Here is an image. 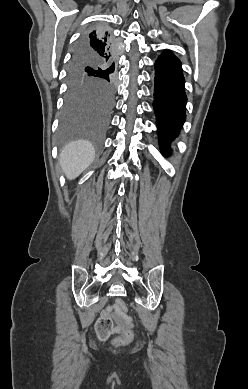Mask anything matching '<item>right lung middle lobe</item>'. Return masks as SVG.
Returning <instances> with one entry per match:
<instances>
[{
    "instance_id": "dd1d6c3e",
    "label": "right lung middle lobe",
    "mask_w": 248,
    "mask_h": 389,
    "mask_svg": "<svg viewBox=\"0 0 248 389\" xmlns=\"http://www.w3.org/2000/svg\"><path fill=\"white\" fill-rule=\"evenodd\" d=\"M114 70L115 65L85 54L77 46L68 70L60 142L85 138L97 147L102 144L114 103Z\"/></svg>"
}]
</instances>
